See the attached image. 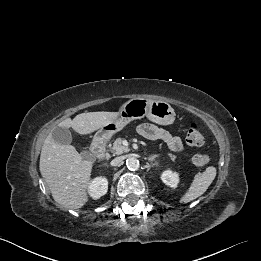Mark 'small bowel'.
Masks as SVG:
<instances>
[{
	"instance_id": "obj_1",
	"label": "small bowel",
	"mask_w": 261,
	"mask_h": 261,
	"mask_svg": "<svg viewBox=\"0 0 261 261\" xmlns=\"http://www.w3.org/2000/svg\"><path fill=\"white\" fill-rule=\"evenodd\" d=\"M138 130L143 137L149 140H163L169 148L175 152H181L184 149L183 142L179 137L171 135L169 132L154 124L144 123L139 126Z\"/></svg>"
}]
</instances>
